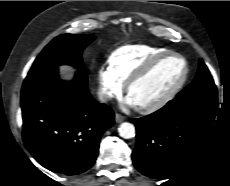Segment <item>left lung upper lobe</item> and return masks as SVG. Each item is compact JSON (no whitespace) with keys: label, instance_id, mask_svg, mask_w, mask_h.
Wrapping results in <instances>:
<instances>
[{"label":"left lung upper lobe","instance_id":"left-lung-upper-lobe-1","mask_svg":"<svg viewBox=\"0 0 230 186\" xmlns=\"http://www.w3.org/2000/svg\"><path fill=\"white\" fill-rule=\"evenodd\" d=\"M206 92H217V89L207 66L204 64L202 59H200L199 69L195 79L184 90H182L175 99L185 98Z\"/></svg>","mask_w":230,"mask_h":186}]
</instances>
